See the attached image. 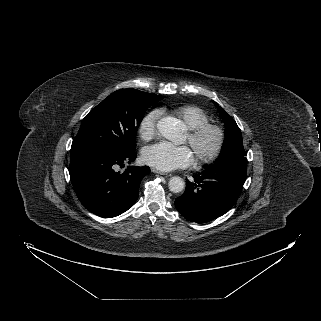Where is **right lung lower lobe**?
<instances>
[{"mask_svg":"<svg viewBox=\"0 0 321 321\" xmlns=\"http://www.w3.org/2000/svg\"><path fill=\"white\" fill-rule=\"evenodd\" d=\"M136 153L112 155L80 149L71 152L69 173L71 183L82 205L97 216L111 218L128 210L137 200L142 178L148 166H129L123 173L117 165L131 163Z\"/></svg>","mask_w":321,"mask_h":321,"instance_id":"1","label":"right lung lower lobe"}]
</instances>
